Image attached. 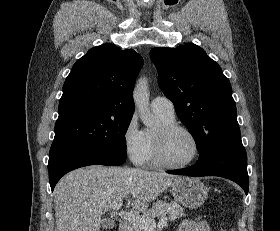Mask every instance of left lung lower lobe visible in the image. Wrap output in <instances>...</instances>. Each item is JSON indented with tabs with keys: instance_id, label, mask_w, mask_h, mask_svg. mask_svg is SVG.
Listing matches in <instances>:
<instances>
[{
	"instance_id": "obj_1",
	"label": "left lung lower lobe",
	"mask_w": 280,
	"mask_h": 231,
	"mask_svg": "<svg viewBox=\"0 0 280 231\" xmlns=\"http://www.w3.org/2000/svg\"><path fill=\"white\" fill-rule=\"evenodd\" d=\"M168 173L193 177H224L239 184L248 194L247 155L241 139L222 143L200 157L193 166Z\"/></svg>"
}]
</instances>
